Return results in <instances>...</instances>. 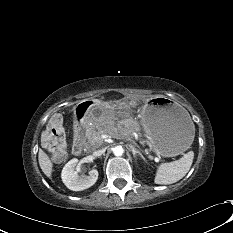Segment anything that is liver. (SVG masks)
I'll list each match as a JSON object with an SVG mask.
<instances>
[{"instance_id": "liver-1", "label": "liver", "mask_w": 233, "mask_h": 233, "mask_svg": "<svg viewBox=\"0 0 233 233\" xmlns=\"http://www.w3.org/2000/svg\"><path fill=\"white\" fill-rule=\"evenodd\" d=\"M38 161H39L40 168L42 169L44 174L47 177H50L52 174L53 164L49 156L42 149L39 150Z\"/></svg>"}]
</instances>
